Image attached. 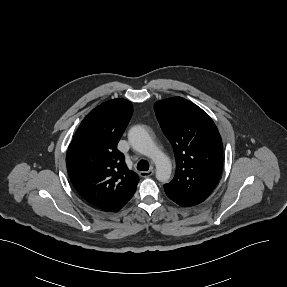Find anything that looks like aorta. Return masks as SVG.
<instances>
[{
  "mask_svg": "<svg viewBox=\"0 0 287 287\" xmlns=\"http://www.w3.org/2000/svg\"><path fill=\"white\" fill-rule=\"evenodd\" d=\"M128 139L136 151L152 159L156 166L157 180L166 183L171 176V162L155 145L144 127L140 125L133 126L128 133Z\"/></svg>",
  "mask_w": 287,
  "mask_h": 287,
  "instance_id": "1",
  "label": "aorta"
}]
</instances>
